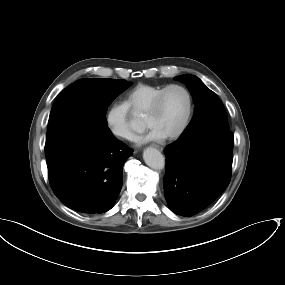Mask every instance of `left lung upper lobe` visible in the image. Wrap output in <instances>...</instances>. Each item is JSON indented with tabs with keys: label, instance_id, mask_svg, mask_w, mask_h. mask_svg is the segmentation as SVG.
<instances>
[{
	"label": "left lung upper lobe",
	"instance_id": "left-lung-upper-lobe-1",
	"mask_svg": "<svg viewBox=\"0 0 285 285\" xmlns=\"http://www.w3.org/2000/svg\"><path fill=\"white\" fill-rule=\"evenodd\" d=\"M176 79L187 85L195 101L194 115L180 137L202 129L230 130L224 106L213 91L196 76L186 74Z\"/></svg>",
	"mask_w": 285,
	"mask_h": 285
}]
</instances>
